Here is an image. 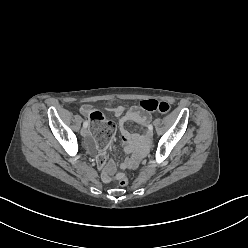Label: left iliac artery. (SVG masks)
I'll return each mask as SVG.
<instances>
[{
    "label": "left iliac artery",
    "mask_w": 248,
    "mask_h": 248,
    "mask_svg": "<svg viewBox=\"0 0 248 248\" xmlns=\"http://www.w3.org/2000/svg\"><path fill=\"white\" fill-rule=\"evenodd\" d=\"M149 130H153V126L151 124L148 125Z\"/></svg>",
    "instance_id": "44dca946"
}]
</instances>
